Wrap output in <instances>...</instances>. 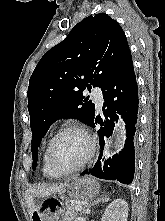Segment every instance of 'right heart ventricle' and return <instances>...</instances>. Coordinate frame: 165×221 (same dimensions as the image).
<instances>
[{
	"instance_id": "obj_1",
	"label": "right heart ventricle",
	"mask_w": 165,
	"mask_h": 221,
	"mask_svg": "<svg viewBox=\"0 0 165 221\" xmlns=\"http://www.w3.org/2000/svg\"><path fill=\"white\" fill-rule=\"evenodd\" d=\"M46 148L47 146L45 147L44 151H43V154H42V164H41V170H42V173L45 177H48V178H55V177H58L59 175L54 173L48 163H47V158H46Z\"/></svg>"
}]
</instances>
